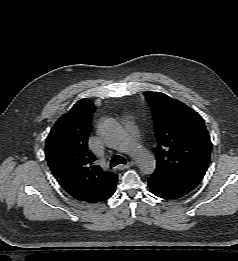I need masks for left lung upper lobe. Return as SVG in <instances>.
Returning <instances> with one entry per match:
<instances>
[{
	"instance_id": "5c2ea615",
	"label": "left lung upper lobe",
	"mask_w": 238,
	"mask_h": 261,
	"mask_svg": "<svg viewBox=\"0 0 238 261\" xmlns=\"http://www.w3.org/2000/svg\"><path fill=\"white\" fill-rule=\"evenodd\" d=\"M158 146L153 176L191 192L209 165L212 143L204 120L193 109L161 92H149Z\"/></svg>"
}]
</instances>
